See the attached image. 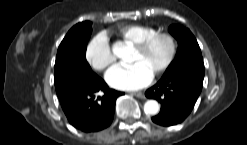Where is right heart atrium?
<instances>
[{
  "label": "right heart atrium",
  "mask_w": 247,
  "mask_h": 145,
  "mask_svg": "<svg viewBox=\"0 0 247 145\" xmlns=\"http://www.w3.org/2000/svg\"><path fill=\"white\" fill-rule=\"evenodd\" d=\"M86 60L97 71H105L115 61L108 38L103 33L95 35L86 48Z\"/></svg>",
  "instance_id": "obj_1"
}]
</instances>
